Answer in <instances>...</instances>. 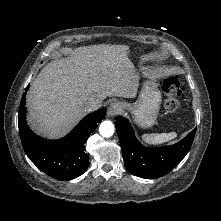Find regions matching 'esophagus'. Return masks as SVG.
<instances>
[{"label":"esophagus","mask_w":221,"mask_h":221,"mask_svg":"<svg viewBox=\"0 0 221 221\" xmlns=\"http://www.w3.org/2000/svg\"><path fill=\"white\" fill-rule=\"evenodd\" d=\"M121 109H122V107H121L120 103H118V102L111 103L110 106L108 107V110H107V116L113 117V116L119 114Z\"/></svg>","instance_id":"obj_1"}]
</instances>
